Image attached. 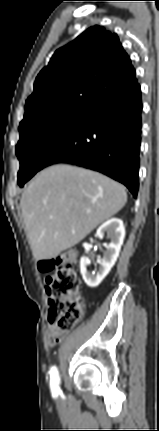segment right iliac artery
Here are the masks:
<instances>
[{
  "label": "right iliac artery",
  "instance_id": "1",
  "mask_svg": "<svg viewBox=\"0 0 159 431\" xmlns=\"http://www.w3.org/2000/svg\"><path fill=\"white\" fill-rule=\"evenodd\" d=\"M50 387L53 393L59 392V374L56 367H52L50 371Z\"/></svg>",
  "mask_w": 159,
  "mask_h": 431
}]
</instances>
